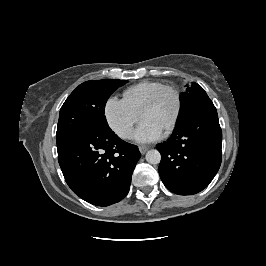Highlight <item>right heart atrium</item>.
<instances>
[{"instance_id":"1","label":"right heart atrium","mask_w":266,"mask_h":266,"mask_svg":"<svg viewBox=\"0 0 266 266\" xmlns=\"http://www.w3.org/2000/svg\"><path fill=\"white\" fill-rule=\"evenodd\" d=\"M104 117L117 136L128 139L140 118V113L132 109L123 99L109 97L104 104Z\"/></svg>"}]
</instances>
